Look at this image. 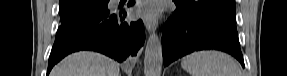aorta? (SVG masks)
Here are the masks:
<instances>
[{
	"instance_id": "aorta-1",
	"label": "aorta",
	"mask_w": 287,
	"mask_h": 76,
	"mask_svg": "<svg viewBox=\"0 0 287 76\" xmlns=\"http://www.w3.org/2000/svg\"><path fill=\"white\" fill-rule=\"evenodd\" d=\"M163 64L162 44L158 35L150 34L145 48L144 74L145 76H160Z\"/></svg>"
}]
</instances>
